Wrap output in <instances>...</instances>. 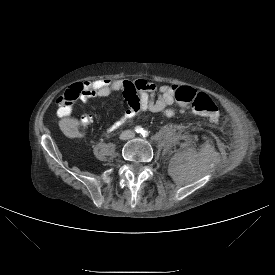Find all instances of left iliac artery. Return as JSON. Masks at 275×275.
Masks as SVG:
<instances>
[{"label":"left iliac artery","instance_id":"44dca946","mask_svg":"<svg viewBox=\"0 0 275 275\" xmlns=\"http://www.w3.org/2000/svg\"><path fill=\"white\" fill-rule=\"evenodd\" d=\"M148 134H149V133H148V131H146V130H144V131L142 132V136H143V137H147Z\"/></svg>","mask_w":275,"mask_h":275}]
</instances>
